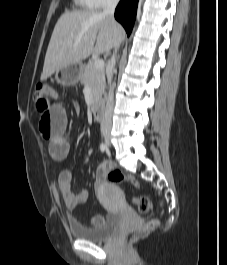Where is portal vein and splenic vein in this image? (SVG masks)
I'll return each instance as SVG.
<instances>
[{
	"instance_id": "portal-vein-and-splenic-vein-1",
	"label": "portal vein and splenic vein",
	"mask_w": 227,
	"mask_h": 265,
	"mask_svg": "<svg viewBox=\"0 0 227 265\" xmlns=\"http://www.w3.org/2000/svg\"><path fill=\"white\" fill-rule=\"evenodd\" d=\"M94 68L96 69L104 68V61L102 59H96L94 61Z\"/></svg>"
}]
</instances>
